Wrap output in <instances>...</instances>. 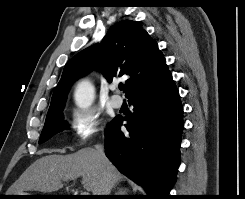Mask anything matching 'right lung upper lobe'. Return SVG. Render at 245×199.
I'll list each match as a JSON object with an SVG mask.
<instances>
[{
  "mask_svg": "<svg viewBox=\"0 0 245 199\" xmlns=\"http://www.w3.org/2000/svg\"><path fill=\"white\" fill-rule=\"evenodd\" d=\"M94 68L101 69L109 82L117 77L126 78L124 92L128 99L154 91L172 80L156 41L138 22L123 20L110 28L99 46H90L68 61L47 116L64 107L72 83Z\"/></svg>",
  "mask_w": 245,
  "mask_h": 199,
  "instance_id": "right-lung-upper-lobe-1",
  "label": "right lung upper lobe"
}]
</instances>
